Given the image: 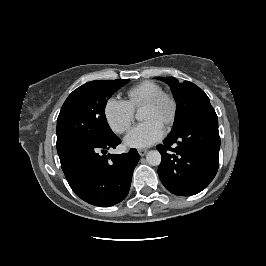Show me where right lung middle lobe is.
I'll return each instance as SVG.
<instances>
[{"label":"right lung middle lobe","instance_id":"1","mask_svg":"<svg viewBox=\"0 0 266 266\" xmlns=\"http://www.w3.org/2000/svg\"><path fill=\"white\" fill-rule=\"evenodd\" d=\"M129 80H98L74 90L57 119V152L64 157L72 149L87 146L113 135L105 117L107 100Z\"/></svg>","mask_w":266,"mask_h":266}]
</instances>
